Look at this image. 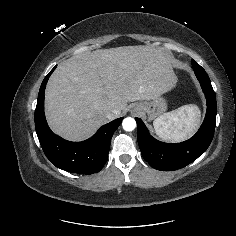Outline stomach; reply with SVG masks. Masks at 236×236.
Wrapping results in <instances>:
<instances>
[{
	"label": "stomach",
	"mask_w": 236,
	"mask_h": 236,
	"mask_svg": "<svg viewBox=\"0 0 236 236\" xmlns=\"http://www.w3.org/2000/svg\"><path fill=\"white\" fill-rule=\"evenodd\" d=\"M134 106H138L141 112L146 113L149 120L160 116L167 110L166 100L162 96L151 101L136 103Z\"/></svg>",
	"instance_id": "1"
}]
</instances>
